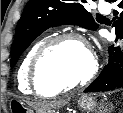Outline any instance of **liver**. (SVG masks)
<instances>
[{
  "label": "liver",
  "mask_w": 123,
  "mask_h": 113,
  "mask_svg": "<svg viewBox=\"0 0 123 113\" xmlns=\"http://www.w3.org/2000/svg\"><path fill=\"white\" fill-rule=\"evenodd\" d=\"M68 102V100H59V101H53L49 103H42L39 104L38 106L40 107V111H49L52 110L53 108L60 107L62 105H65Z\"/></svg>",
  "instance_id": "6515ba94"
}]
</instances>
